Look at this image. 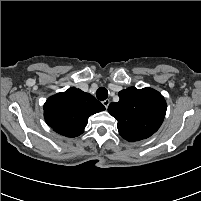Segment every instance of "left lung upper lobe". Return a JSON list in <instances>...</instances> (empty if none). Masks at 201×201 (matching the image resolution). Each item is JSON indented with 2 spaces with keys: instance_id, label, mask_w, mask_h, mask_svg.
<instances>
[{
  "instance_id": "1",
  "label": "left lung upper lobe",
  "mask_w": 201,
  "mask_h": 201,
  "mask_svg": "<svg viewBox=\"0 0 201 201\" xmlns=\"http://www.w3.org/2000/svg\"><path fill=\"white\" fill-rule=\"evenodd\" d=\"M118 95L119 102L111 103L108 112L117 119L118 131L125 140L140 141L159 129L167 105L158 91L152 88L129 87Z\"/></svg>"
}]
</instances>
